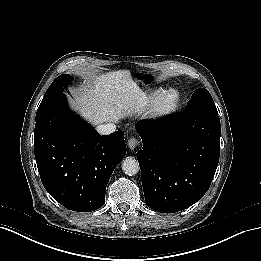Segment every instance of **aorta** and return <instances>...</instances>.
<instances>
[{
	"instance_id": "obj_1",
	"label": "aorta",
	"mask_w": 261,
	"mask_h": 261,
	"mask_svg": "<svg viewBox=\"0 0 261 261\" xmlns=\"http://www.w3.org/2000/svg\"><path fill=\"white\" fill-rule=\"evenodd\" d=\"M121 167L122 171L129 176L136 175L140 170L138 160L133 157H126L123 160Z\"/></svg>"
}]
</instances>
